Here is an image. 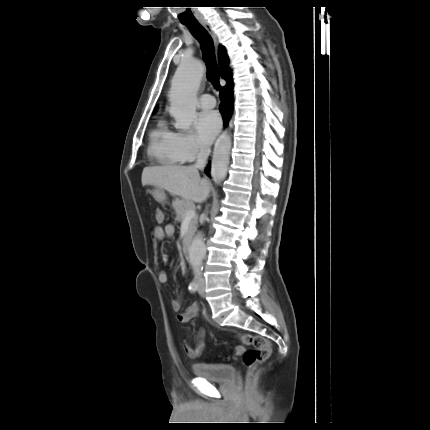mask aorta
Wrapping results in <instances>:
<instances>
[{
	"mask_svg": "<svg viewBox=\"0 0 430 430\" xmlns=\"http://www.w3.org/2000/svg\"><path fill=\"white\" fill-rule=\"evenodd\" d=\"M203 74L202 63L195 59L184 60L175 72L169 91V112L176 121L177 129L188 130L197 117L196 95ZM231 145V136L227 132L222 133L215 143L210 173L217 183L227 175ZM205 255L206 246L200 233L194 237L189 247V263L194 272L200 271Z\"/></svg>",
	"mask_w": 430,
	"mask_h": 430,
	"instance_id": "1",
	"label": "aorta"
}]
</instances>
